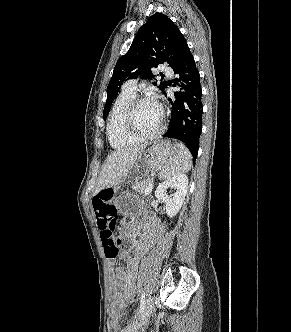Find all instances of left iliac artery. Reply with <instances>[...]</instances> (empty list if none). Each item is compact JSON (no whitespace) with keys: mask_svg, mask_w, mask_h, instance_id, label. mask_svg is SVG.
Segmentation results:
<instances>
[{"mask_svg":"<svg viewBox=\"0 0 291 332\" xmlns=\"http://www.w3.org/2000/svg\"><path fill=\"white\" fill-rule=\"evenodd\" d=\"M145 308V292L142 293L141 298H140V307L137 312V315H140Z\"/></svg>","mask_w":291,"mask_h":332,"instance_id":"44dca946","label":"left iliac artery"}]
</instances>
